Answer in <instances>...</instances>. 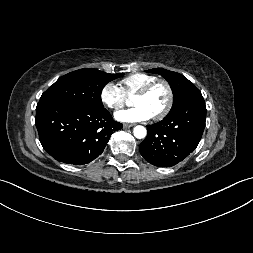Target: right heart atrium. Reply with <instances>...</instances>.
Returning a JSON list of instances; mask_svg holds the SVG:
<instances>
[{"label": "right heart atrium", "instance_id": "right-heart-atrium-1", "mask_svg": "<svg viewBox=\"0 0 253 253\" xmlns=\"http://www.w3.org/2000/svg\"><path fill=\"white\" fill-rule=\"evenodd\" d=\"M100 99L106 107L117 111L124 106L127 95L120 85L108 82L101 88Z\"/></svg>", "mask_w": 253, "mask_h": 253}]
</instances>
